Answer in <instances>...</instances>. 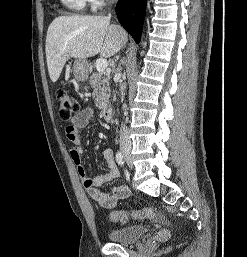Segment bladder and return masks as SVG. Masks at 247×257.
<instances>
[{"instance_id": "31cf9c89", "label": "bladder", "mask_w": 247, "mask_h": 257, "mask_svg": "<svg viewBox=\"0 0 247 257\" xmlns=\"http://www.w3.org/2000/svg\"><path fill=\"white\" fill-rule=\"evenodd\" d=\"M148 233V228L144 225H132L119 228H111L108 231V238L118 244L135 243Z\"/></svg>"}]
</instances>
